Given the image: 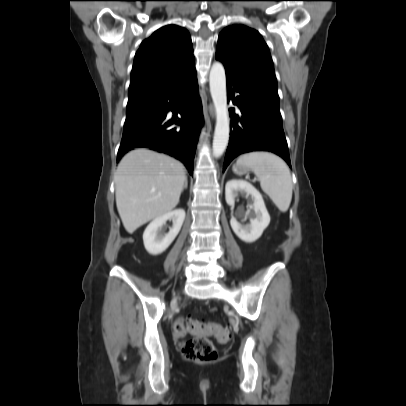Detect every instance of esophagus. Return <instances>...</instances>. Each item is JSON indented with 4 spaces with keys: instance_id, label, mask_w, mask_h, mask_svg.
<instances>
[{
    "instance_id": "1",
    "label": "esophagus",
    "mask_w": 406,
    "mask_h": 406,
    "mask_svg": "<svg viewBox=\"0 0 406 406\" xmlns=\"http://www.w3.org/2000/svg\"><path fill=\"white\" fill-rule=\"evenodd\" d=\"M208 111H209L210 116L214 117V107L212 104L209 105Z\"/></svg>"
}]
</instances>
